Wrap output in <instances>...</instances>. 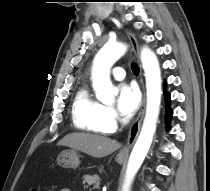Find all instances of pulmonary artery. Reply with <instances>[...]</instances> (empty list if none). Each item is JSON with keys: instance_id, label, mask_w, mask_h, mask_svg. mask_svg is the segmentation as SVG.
<instances>
[{"instance_id": "obj_1", "label": "pulmonary artery", "mask_w": 210, "mask_h": 191, "mask_svg": "<svg viewBox=\"0 0 210 191\" xmlns=\"http://www.w3.org/2000/svg\"><path fill=\"white\" fill-rule=\"evenodd\" d=\"M112 76L116 80H123L126 76V73H125V70L122 67L117 66L112 70Z\"/></svg>"}]
</instances>
